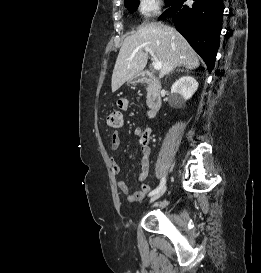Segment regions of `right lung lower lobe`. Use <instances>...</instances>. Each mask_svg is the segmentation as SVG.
<instances>
[{
    "label": "right lung lower lobe",
    "mask_w": 261,
    "mask_h": 273,
    "mask_svg": "<svg viewBox=\"0 0 261 273\" xmlns=\"http://www.w3.org/2000/svg\"><path fill=\"white\" fill-rule=\"evenodd\" d=\"M186 0H174L160 17H171L176 29L205 61L208 71L214 68L222 28L223 0H195L187 6Z\"/></svg>",
    "instance_id": "1"
}]
</instances>
